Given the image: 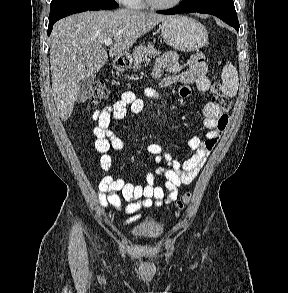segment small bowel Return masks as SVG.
I'll list each match as a JSON object with an SVG mask.
<instances>
[{
    "label": "small bowel",
    "instance_id": "1",
    "mask_svg": "<svg viewBox=\"0 0 288 293\" xmlns=\"http://www.w3.org/2000/svg\"><path fill=\"white\" fill-rule=\"evenodd\" d=\"M164 69L172 75L164 77ZM206 72L207 66L203 54L194 53L186 63H182L177 53L167 52L156 60L152 75L159 81L160 87L180 84L179 95L187 98L191 94L188 84H195L200 92L210 96V80ZM145 95L157 97L155 90L150 87L145 89ZM143 108L142 98L137 97L132 91H125L113 105L94 111L93 119L97 122V126L93 129L94 147L101 154L100 165L104 171H109L111 168L112 158L109 151L126 149L124 141L115 134L113 125L124 119L129 112L138 114ZM203 115L204 126L208 132L202 139L195 136L188 139V146L193 151L190 158L181 163L165 152L162 145L158 143L147 145L146 151L155 156L156 163H165L166 167H158L155 173H147L145 184H133L121 178L104 176L98 184L100 205L103 208L112 206L127 215L125 224L129 225L141 219V209L159 207L163 203L175 200L178 188L190 184L197 178L228 124V116L212 97L205 104ZM137 153H140V150ZM155 174L163 177L164 188L155 185ZM164 189L168 191L167 195ZM119 194L128 201L127 205H122Z\"/></svg>",
    "mask_w": 288,
    "mask_h": 293
}]
</instances>
